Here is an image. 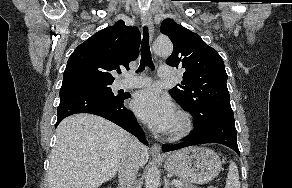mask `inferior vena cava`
Here are the masks:
<instances>
[{"label": "inferior vena cava", "mask_w": 292, "mask_h": 188, "mask_svg": "<svg viewBox=\"0 0 292 188\" xmlns=\"http://www.w3.org/2000/svg\"><path fill=\"white\" fill-rule=\"evenodd\" d=\"M143 145L135 138L129 142L126 156L119 166V187L133 188L139 169V153Z\"/></svg>", "instance_id": "602c4592"}]
</instances>
